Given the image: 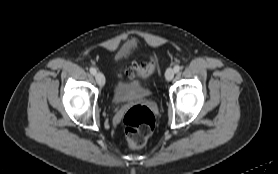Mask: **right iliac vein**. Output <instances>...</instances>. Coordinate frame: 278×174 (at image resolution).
<instances>
[{"label":"right iliac vein","mask_w":278,"mask_h":174,"mask_svg":"<svg viewBox=\"0 0 278 174\" xmlns=\"http://www.w3.org/2000/svg\"><path fill=\"white\" fill-rule=\"evenodd\" d=\"M95 79H96V82L98 83L99 86H104L105 84V77L102 73L98 72L95 74Z\"/></svg>","instance_id":"1"}]
</instances>
